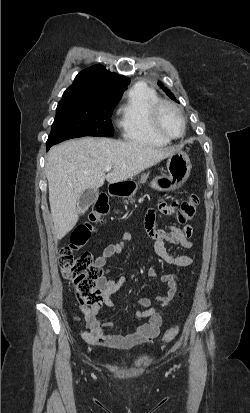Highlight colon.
I'll return each instance as SVG.
<instances>
[{
	"label": "colon",
	"mask_w": 250,
	"mask_h": 413,
	"mask_svg": "<svg viewBox=\"0 0 250 413\" xmlns=\"http://www.w3.org/2000/svg\"><path fill=\"white\" fill-rule=\"evenodd\" d=\"M198 197L190 195L181 204L176 205V219L179 223H186L195 214ZM108 203L104 196H100L92 205L88 223L78 226L73 232L69 245L63 247L59 254L60 271L62 276L71 281L78 302L84 307H99L102 303V292L99 287V278L103 270L93 262L92 256L84 252L79 257L74 256V251L82 248L89 241L94 231L93 224L108 212ZM174 210V211H175ZM179 332V326L170 327L163 335L162 341L169 343Z\"/></svg>",
	"instance_id": "colon-1"
}]
</instances>
